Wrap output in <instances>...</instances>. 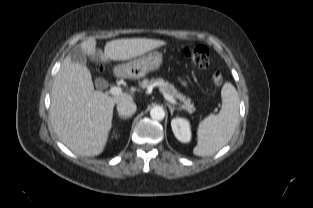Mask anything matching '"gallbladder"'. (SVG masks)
Here are the masks:
<instances>
[{
  "mask_svg": "<svg viewBox=\"0 0 313 208\" xmlns=\"http://www.w3.org/2000/svg\"><path fill=\"white\" fill-rule=\"evenodd\" d=\"M69 56L74 63L80 64L82 66L86 65V56L84 50L80 45L74 46L70 50ZM106 84H107L106 81L100 77L95 80V85L99 89L104 88Z\"/></svg>",
  "mask_w": 313,
  "mask_h": 208,
  "instance_id": "bac80fb5",
  "label": "gallbladder"
}]
</instances>
